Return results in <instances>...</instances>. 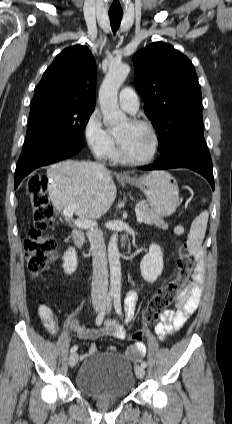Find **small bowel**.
<instances>
[{"mask_svg":"<svg viewBox=\"0 0 232 424\" xmlns=\"http://www.w3.org/2000/svg\"><path fill=\"white\" fill-rule=\"evenodd\" d=\"M203 262L202 257H199L197 268L193 274L192 282L184 289L175 303L174 309L165 310L160 315V322L156 326V333L161 339L173 334L183 327L188 317L197 309L202 293L203 284ZM137 301V290L132 289L125 296L126 308L129 306L135 307ZM40 319L51 336L57 333V323L52 313L51 308L42 304L38 309ZM131 317L128 318L130 320ZM69 328L74 331L80 339L96 340L103 336H111L116 339H124L126 333L124 327L116 320H107L101 328H86L81 326L74 318L68 319ZM108 351L116 352V346H109ZM98 352L95 344L89 346L87 354L93 355ZM146 348L142 343L130 345L126 350V355L133 361L138 362L145 354Z\"/></svg>","mask_w":232,"mask_h":424,"instance_id":"c3829d8e","label":"small bowel"}]
</instances>
